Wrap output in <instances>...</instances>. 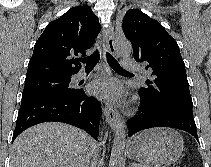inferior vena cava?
I'll return each mask as SVG.
<instances>
[{"label": "inferior vena cava", "instance_id": "602c4592", "mask_svg": "<svg viewBox=\"0 0 211 167\" xmlns=\"http://www.w3.org/2000/svg\"><path fill=\"white\" fill-rule=\"evenodd\" d=\"M89 156H90V154H89V152H87L85 155L84 167H88Z\"/></svg>", "mask_w": 211, "mask_h": 167}]
</instances>
